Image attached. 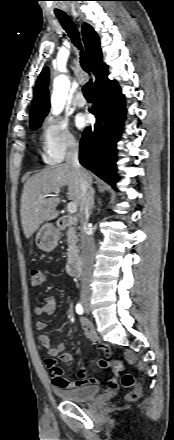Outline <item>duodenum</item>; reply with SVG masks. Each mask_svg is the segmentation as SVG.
I'll return each mask as SVG.
<instances>
[{"label":"duodenum","instance_id":"duodenum-1","mask_svg":"<svg viewBox=\"0 0 174 440\" xmlns=\"http://www.w3.org/2000/svg\"><path fill=\"white\" fill-rule=\"evenodd\" d=\"M80 220L77 217L73 216H64L59 219L58 225L61 228H66L69 226H72L74 224L79 223ZM68 271L70 275L74 277H80L81 276V263L80 260L77 257H71L68 262Z\"/></svg>","mask_w":174,"mask_h":440}]
</instances>
